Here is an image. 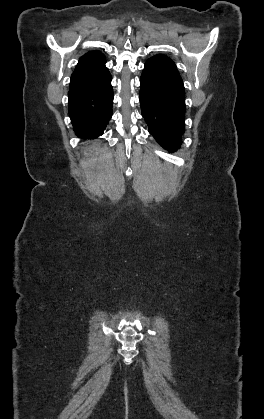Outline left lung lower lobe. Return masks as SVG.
<instances>
[{
	"instance_id": "0a47b994",
	"label": "left lung lower lobe",
	"mask_w": 264,
	"mask_h": 419,
	"mask_svg": "<svg viewBox=\"0 0 264 419\" xmlns=\"http://www.w3.org/2000/svg\"><path fill=\"white\" fill-rule=\"evenodd\" d=\"M140 103L148 131L169 152L176 151L184 133L185 92L170 58L156 55L146 61L140 79Z\"/></svg>"
}]
</instances>
